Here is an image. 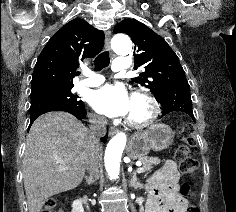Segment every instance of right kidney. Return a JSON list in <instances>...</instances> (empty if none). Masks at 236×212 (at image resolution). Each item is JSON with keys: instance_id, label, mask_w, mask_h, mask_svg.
Here are the masks:
<instances>
[{"instance_id": "obj_1", "label": "right kidney", "mask_w": 236, "mask_h": 212, "mask_svg": "<svg viewBox=\"0 0 236 212\" xmlns=\"http://www.w3.org/2000/svg\"><path fill=\"white\" fill-rule=\"evenodd\" d=\"M72 212H84L81 199H77L72 203Z\"/></svg>"}]
</instances>
